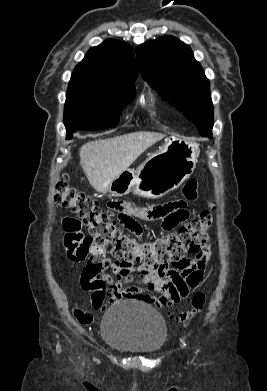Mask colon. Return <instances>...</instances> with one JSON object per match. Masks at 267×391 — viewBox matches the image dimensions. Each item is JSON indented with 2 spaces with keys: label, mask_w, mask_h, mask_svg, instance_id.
Wrapping results in <instances>:
<instances>
[{
  "label": "colon",
  "mask_w": 267,
  "mask_h": 391,
  "mask_svg": "<svg viewBox=\"0 0 267 391\" xmlns=\"http://www.w3.org/2000/svg\"><path fill=\"white\" fill-rule=\"evenodd\" d=\"M54 201L72 212L86 226L89 235L78 239L82 253L109 254L125 266H142L155 272L166 265H180L187 254L196 253L207 245L208 231L212 227L211 210L202 211L191 222L179 227L175 233L139 240L120 231L111 217L91 198L66 182L55 189ZM205 295L198 292L192 299V309L177 316L189 322L204 305Z\"/></svg>",
  "instance_id": "obj_1"
}]
</instances>
